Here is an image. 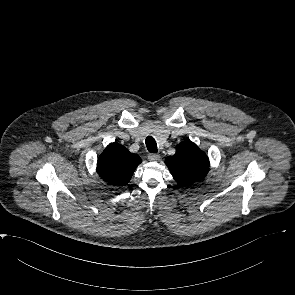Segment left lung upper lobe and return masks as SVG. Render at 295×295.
I'll list each match as a JSON object with an SVG mask.
<instances>
[{"instance_id":"left-lung-upper-lobe-1","label":"left lung upper lobe","mask_w":295,"mask_h":295,"mask_svg":"<svg viewBox=\"0 0 295 295\" xmlns=\"http://www.w3.org/2000/svg\"><path fill=\"white\" fill-rule=\"evenodd\" d=\"M165 164L180 185H189L202 180L209 170L208 157L191 141L178 144L176 153L168 156Z\"/></svg>"}]
</instances>
